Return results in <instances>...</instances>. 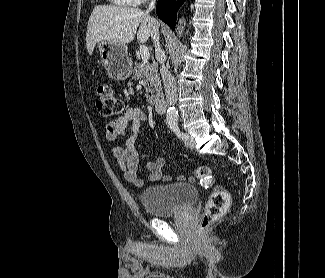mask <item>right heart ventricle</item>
Returning <instances> with one entry per match:
<instances>
[{
	"mask_svg": "<svg viewBox=\"0 0 325 278\" xmlns=\"http://www.w3.org/2000/svg\"><path fill=\"white\" fill-rule=\"evenodd\" d=\"M111 2L120 6H132L135 5L133 0H110Z\"/></svg>",
	"mask_w": 325,
	"mask_h": 278,
	"instance_id": "obj_1",
	"label": "right heart ventricle"
}]
</instances>
